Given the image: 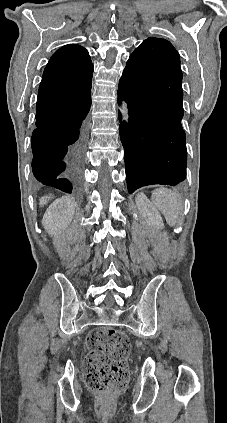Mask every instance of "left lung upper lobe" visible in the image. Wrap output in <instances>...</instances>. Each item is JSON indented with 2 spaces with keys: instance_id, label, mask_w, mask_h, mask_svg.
Masks as SVG:
<instances>
[{
  "instance_id": "left-lung-upper-lobe-1",
  "label": "left lung upper lobe",
  "mask_w": 227,
  "mask_h": 423,
  "mask_svg": "<svg viewBox=\"0 0 227 423\" xmlns=\"http://www.w3.org/2000/svg\"><path fill=\"white\" fill-rule=\"evenodd\" d=\"M153 92V101L167 112H183L179 54L165 39L150 37L134 50L122 77Z\"/></svg>"
}]
</instances>
